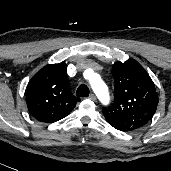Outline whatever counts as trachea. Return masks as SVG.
<instances>
[{"label":"trachea","instance_id":"3493384b","mask_svg":"<svg viewBox=\"0 0 171 171\" xmlns=\"http://www.w3.org/2000/svg\"><path fill=\"white\" fill-rule=\"evenodd\" d=\"M89 93H90L89 88L85 84L80 85L76 91V95L79 97H87L89 96Z\"/></svg>","mask_w":171,"mask_h":171}]
</instances>
